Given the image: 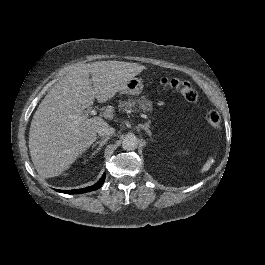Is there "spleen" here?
Instances as JSON below:
<instances>
[{"label": "spleen", "instance_id": "3e777b00", "mask_svg": "<svg viewBox=\"0 0 265 265\" xmlns=\"http://www.w3.org/2000/svg\"><path fill=\"white\" fill-rule=\"evenodd\" d=\"M178 154H181V152H179ZM182 154L187 155V154H188V151H183ZM212 163H213V159L210 158V159L204 164L203 168L201 169V172L203 173V172L208 171V170L210 169Z\"/></svg>", "mask_w": 265, "mask_h": 265}]
</instances>
